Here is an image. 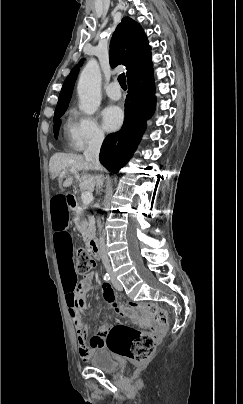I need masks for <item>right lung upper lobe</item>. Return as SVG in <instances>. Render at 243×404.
Listing matches in <instances>:
<instances>
[{
    "mask_svg": "<svg viewBox=\"0 0 243 404\" xmlns=\"http://www.w3.org/2000/svg\"><path fill=\"white\" fill-rule=\"evenodd\" d=\"M110 64L115 67L123 64L127 69V81H130L152 69L151 48L139 23L129 17L122 19L112 40ZM79 68L75 66L67 76L59 94L56 110L68 107L74 82Z\"/></svg>",
    "mask_w": 243,
    "mask_h": 404,
    "instance_id": "obj_1",
    "label": "right lung upper lobe"
}]
</instances>
